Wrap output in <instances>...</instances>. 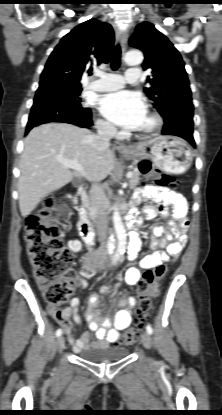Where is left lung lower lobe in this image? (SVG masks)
Segmentation results:
<instances>
[{
    "instance_id": "0a47b994",
    "label": "left lung lower lobe",
    "mask_w": 222,
    "mask_h": 415,
    "mask_svg": "<svg viewBox=\"0 0 222 415\" xmlns=\"http://www.w3.org/2000/svg\"><path fill=\"white\" fill-rule=\"evenodd\" d=\"M162 129L163 135H175L184 138L192 146H195L193 138V104L192 102L183 103L182 115L180 119L171 117L164 120Z\"/></svg>"
}]
</instances>
